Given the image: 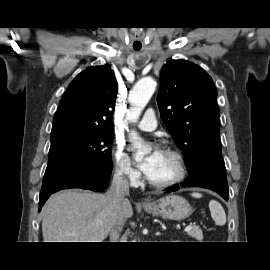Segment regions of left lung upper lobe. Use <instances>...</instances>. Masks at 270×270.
Returning a JSON list of instances; mask_svg holds the SVG:
<instances>
[{"mask_svg":"<svg viewBox=\"0 0 270 270\" xmlns=\"http://www.w3.org/2000/svg\"><path fill=\"white\" fill-rule=\"evenodd\" d=\"M157 104L167 130L184 152L189 176L209 162L224 163L217 89L202 68L185 60L167 62L160 73Z\"/></svg>","mask_w":270,"mask_h":270,"instance_id":"1","label":"left lung upper lobe"}]
</instances>
